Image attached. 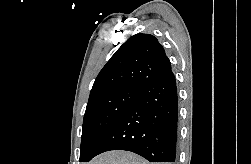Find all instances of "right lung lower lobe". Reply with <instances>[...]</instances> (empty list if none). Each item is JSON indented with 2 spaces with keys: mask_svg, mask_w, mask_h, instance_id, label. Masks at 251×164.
Instances as JSON below:
<instances>
[{
  "mask_svg": "<svg viewBox=\"0 0 251 164\" xmlns=\"http://www.w3.org/2000/svg\"><path fill=\"white\" fill-rule=\"evenodd\" d=\"M177 123V87L170 70L140 88L136 101L100 138L85 162L110 150L131 151L150 162H175Z\"/></svg>",
  "mask_w": 251,
  "mask_h": 164,
  "instance_id": "98d812e1",
  "label": "right lung lower lobe"
}]
</instances>
